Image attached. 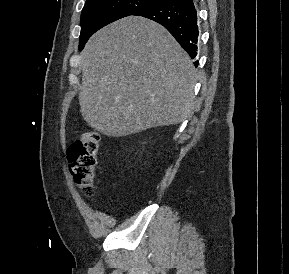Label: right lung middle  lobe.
<instances>
[{
	"label": "right lung middle lobe",
	"instance_id": "right-lung-middle-lobe-1",
	"mask_svg": "<svg viewBox=\"0 0 289 274\" xmlns=\"http://www.w3.org/2000/svg\"><path fill=\"white\" fill-rule=\"evenodd\" d=\"M160 0H87L81 13L79 50L97 30Z\"/></svg>",
	"mask_w": 289,
	"mask_h": 274
}]
</instances>
